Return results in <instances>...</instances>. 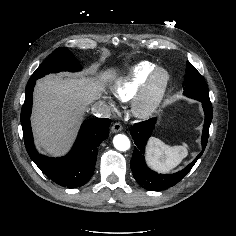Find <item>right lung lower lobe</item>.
<instances>
[{
  "label": "right lung lower lobe",
  "instance_id": "98d812e1",
  "mask_svg": "<svg viewBox=\"0 0 236 236\" xmlns=\"http://www.w3.org/2000/svg\"><path fill=\"white\" fill-rule=\"evenodd\" d=\"M34 86L35 81H28L21 110L26 150L39 169L52 181L68 188L80 187L88 182L94 172L97 147L108 138L111 120L92 118L84 121L72 150L65 157L50 158L41 155L34 147L30 125Z\"/></svg>",
  "mask_w": 236,
  "mask_h": 236
}]
</instances>
